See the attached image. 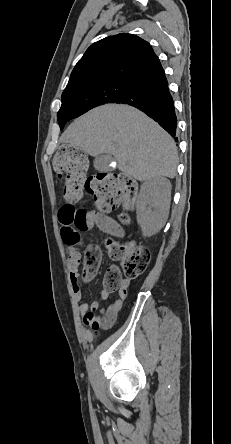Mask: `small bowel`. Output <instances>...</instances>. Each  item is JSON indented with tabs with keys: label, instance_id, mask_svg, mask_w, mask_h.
Instances as JSON below:
<instances>
[{
	"label": "small bowel",
	"instance_id": "small-bowel-1",
	"mask_svg": "<svg viewBox=\"0 0 231 444\" xmlns=\"http://www.w3.org/2000/svg\"><path fill=\"white\" fill-rule=\"evenodd\" d=\"M64 206H62L59 210V220L62 225L61 236L64 243L72 247L78 242L79 234L75 229L62 223L61 217ZM96 227L112 236L120 237L123 234V231L118 223L108 216H100L96 223ZM79 261V253L77 252V250L73 249L71 251L69 259L70 277L74 291V300L78 306V311L80 316L82 317L83 323L94 332L97 331L99 328L110 327L115 322L117 314L122 308L125 299L127 298L130 281L124 280L122 282L119 291V298L113 300L105 308H101L100 303L101 301H104L108 298L109 293L107 291H101L99 294V298L90 303L87 301L81 302L82 295L79 274Z\"/></svg>",
	"mask_w": 231,
	"mask_h": 444
}]
</instances>
